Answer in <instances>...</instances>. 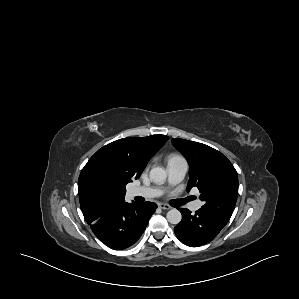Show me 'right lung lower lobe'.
<instances>
[{
	"label": "right lung lower lobe",
	"mask_w": 299,
	"mask_h": 299,
	"mask_svg": "<svg viewBox=\"0 0 299 299\" xmlns=\"http://www.w3.org/2000/svg\"><path fill=\"white\" fill-rule=\"evenodd\" d=\"M156 210L151 202L88 204L82 207L85 220L97 238L112 249L133 245L144 232Z\"/></svg>",
	"instance_id": "98d812e1"
}]
</instances>
